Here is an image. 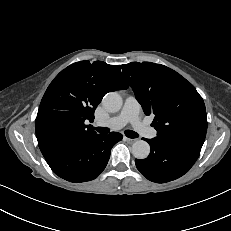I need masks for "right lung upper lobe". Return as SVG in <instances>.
I'll return each instance as SVG.
<instances>
[{
	"mask_svg": "<svg viewBox=\"0 0 231 231\" xmlns=\"http://www.w3.org/2000/svg\"><path fill=\"white\" fill-rule=\"evenodd\" d=\"M119 73L120 65L80 61L54 78L41 100L35 120L43 156L96 135L86 122H93L94 111L106 93L128 88Z\"/></svg>",
	"mask_w": 231,
	"mask_h": 231,
	"instance_id": "1",
	"label": "right lung upper lobe"
}]
</instances>
